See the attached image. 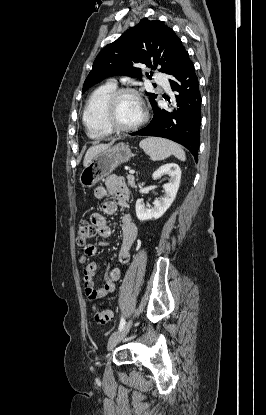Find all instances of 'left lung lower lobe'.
Masks as SVG:
<instances>
[{
    "instance_id": "1",
    "label": "left lung lower lobe",
    "mask_w": 266,
    "mask_h": 415,
    "mask_svg": "<svg viewBox=\"0 0 266 415\" xmlns=\"http://www.w3.org/2000/svg\"><path fill=\"white\" fill-rule=\"evenodd\" d=\"M176 92L172 108L153 106L154 116L143 129L131 135L157 136L186 147L197 161L200 145L201 94L194 65L188 57L170 80Z\"/></svg>"
}]
</instances>
